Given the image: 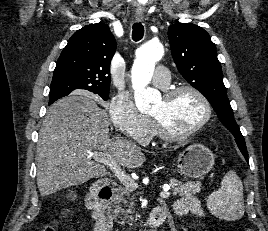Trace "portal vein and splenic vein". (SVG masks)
Wrapping results in <instances>:
<instances>
[{
    "mask_svg": "<svg viewBox=\"0 0 268 231\" xmlns=\"http://www.w3.org/2000/svg\"><path fill=\"white\" fill-rule=\"evenodd\" d=\"M95 160L109 167V169L114 173L118 180L122 182L125 186L133 189L138 188V184L128 174H126L124 170H122V168L118 165V163L111 155L98 154ZM159 195L163 199L168 198L170 196L169 187H163Z\"/></svg>",
    "mask_w": 268,
    "mask_h": 231,
    "instance_id": "18ae733b",
    "label": "portal vein and splenic vein"
}]
</instances>
